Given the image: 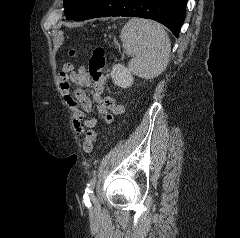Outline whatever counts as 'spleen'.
Listing matches in <instances>:
<instances>
[{
	"label": "spleen",
	"instance_id": "1",
	"mask_svg": "<svg viewBox=\"0 0 240 238\" xmlns=\"http://www.w3.org/2000/svg\"><path fill=\"white\" fill-rule=\"evenodd\" d=\"M127 54H134L129 70L145 79L162 73L169 62L171 44L164 28L157 22L133 18L120 34Z\"/></svg>",
	"mask_w": 240,
	"mask_h": 238
}]
</instances>
